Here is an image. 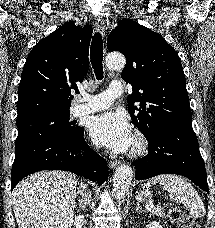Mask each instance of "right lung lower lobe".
<instances>
[{"label":"right lung lower lobe","mask_w":215,"mask_h":228,"mask_svg":"<svg viewBox=\"0 0 215 228\" xmlns=\"http://www.w3.org/2000/svg\"><path fill=\"white\" fill-rule=\"evenodd\" d=\"M48 136L15 146V160L11 172V190L24 177L41 170H64L104 183L108 166L83 137Z\"/></svg>","instance_id":"1"}]
</instances>
